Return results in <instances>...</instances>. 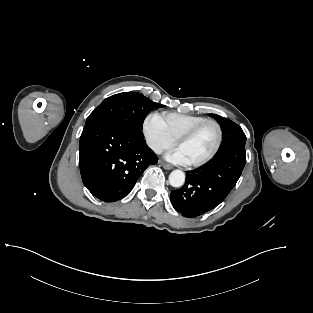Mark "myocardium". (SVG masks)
Wrapping results in <instances>:
<instances>
[{"instance_id":"myocardium-1","label":"myocardium","mask_w":313,"mask_h":313,"mask_svg":"<svg viewBox=\"0 0 313 313\" xmlns=\"http://www.w3.org/2000/svg\"><path fill=\"white\" fill-rule=\"evenodd\" d=\"M214 125L216 130H217V141L216 144L213 148V150L203 159L198 160L196 162H191L189 163L190 166L192 167H200L203 166L205 164H207L208 162H210L218 153L221 145H222V141H223V130L222 127L220 125V123L216 120L213 119H207L197 125H195L194 127L190 128L188 131L184 132L182 135H180L177 139H176V145H180L183 142H186L188 140H190L192 137H194L202 128H204L207 125Z\"/></svg>"}]
</instances>
